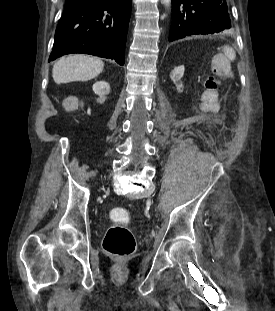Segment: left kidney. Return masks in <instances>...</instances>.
I'll list each match as a JSON object with an SVG mask.
<instances>
[{"label":"left kidney","instance_id":"left-kidney-1","mask_svg":"<svg viewBox=\"0 0 275 311\" xmlns=\"http://www.w3.org/2000/svg\"><path fill=\"white\" fill-rule=\"evenodd\" d=\"M183 75H184V67L183 66H178L175 67L171 74H170V78L174 81V87L176 89H179L180 92L183 91L184 86H183Z\"/></svg>","mask_w":275,"mask_h":311}]
</instances>
